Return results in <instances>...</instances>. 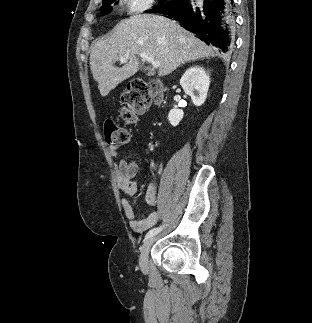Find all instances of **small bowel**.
Masks as SVG:
<instances>
[{
	"instance_id": "c3829d8e",
	"label": "small bowel",
	"mask_w": 312,
	"mask_h": 323,
	"mask_svg": "<svg viewBox=\"0 0 312 323\" xmlns=\"http://www.w3.org/2000/svg\"><path fill=\"white\" fill-rule=\"evenodd\" d=\"M112 157L118 155L116 148L110 149ZM138 174V164L135 161L121 159L117 164L116 180L120 191L125 195L122 199V208L129 220V225L136 232H144L154 226L161 218L160 211L151 212L145 219H139L136 215L131 200L136 196L138 188L136 185V176ZM146 201L150 207H156L158 204L156 185L150 183L146 188Z\"/></svg>"
}]
</instances>
